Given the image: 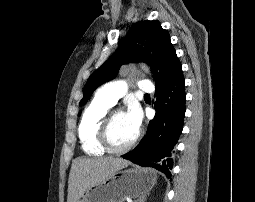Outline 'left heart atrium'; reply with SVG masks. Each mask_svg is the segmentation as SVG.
Instances as JSON below:
<instances>
[{
    "mask_svg": "<svg viewBox=\"0 0 255 202\" xmlns=\"http://www.w3.org/2000/svg\"><path fill=\"white\" fill-rule=\"evenodd\" d=\"M124 114L131 127L138 132L142 123V114L139 107L135 104H130Z\"/></svg>",
    "mask_w": 255,
    "mask_h": 202,
    "instance_id": "left-heart-atrium-1",
    "label": "left heart atrium"
}]
</instances>
